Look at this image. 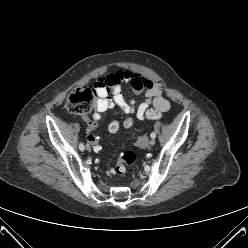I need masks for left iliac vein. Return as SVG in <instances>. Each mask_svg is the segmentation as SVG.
Segmentation results:
<instances>
[{
    "mask_svg": "<svg viewBox=\"0 0 248 248\" xmlns=\"http://www.w3.org/2000/svg\"><path fill=\"white\" fill-rule=\"evenodd\" d=\"M154 144H155V140L151 139L150 142H149V145L152 147V146H154Z\"/></svg>",
    "mask_w": 248,
    "mask_h": 248,
    "instance_id": "4c4485c4",
    "label": "left iliac vein"
}]
</instances>
